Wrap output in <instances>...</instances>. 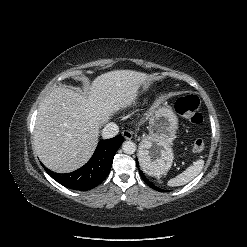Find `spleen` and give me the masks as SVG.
I'll return each mask as SVG.
<instances>
[{
    "mask_svg": "<svg viewBox=\"0 0 247 247\" xmlns=\"http://www.w3.org/2000/svg\"><path fill=\"white\" fill-rule=\"evenodd\" d=\"M204 161L197 160L191 166H189L185 171L176 177L170 179L168 181L169 186H181L188 182H190L193 178H195L203 169Z\"/></svg>",
    "mask_w": 247,
    "mask_h": 247,
    "instance_id": "spleen-1",
    "label": "spleen"
}]
</instances>
